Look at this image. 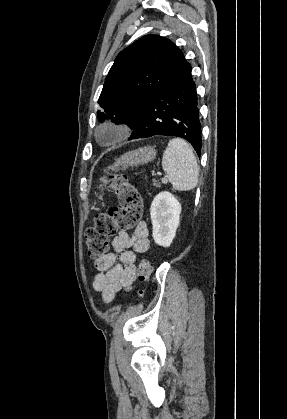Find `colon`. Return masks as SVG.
I'll list each match as a JSON object with an SVG mask.
<instances>
[{"instance_id": "5ec220e1", "label": "colon", "mask_w": 287, "mask_h": 419, "mask_svg": "<svg viewBox=\"0 0 287 419\" xmlns=\"http://www.w3.org/2000/svg\"><path fill=\"white\" fill-rule=\"evenodd\" d=\"M110 184L119 199L120 206L110 209L107 213L96 214L93 225L85 233L88 255L95 260L107 254L110 237L119 229L136 226L142 216L141 196L127 176L124 173L114 172L110 175ZM151 273L150 260L142 259L137 268L139 280L148 281ZM139 293L143 295L144 291L141 290Z\"/></svg>"}]
</instances>
